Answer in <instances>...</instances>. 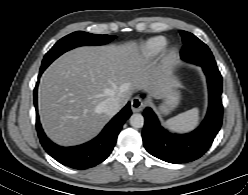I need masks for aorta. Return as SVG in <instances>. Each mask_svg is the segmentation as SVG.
Wrapping results in <instances>:
<instances>
[{
	"mask_svg": "<svg viewBox=\"0 0 248 195\" xmlns=\"http://www.w3.org/2000/svg\"><path fill=\"white\" fill-rule=\"evenodd\" d=\"M130 125L134 128H142L144 125V117L139 113L132 114L130 117Z\"/></svg>",
	"mask_w": 248,
	"mask_h": 195,
	"instance_id": "aorta-1",
	"label": "aorta"
}]
</instances>
